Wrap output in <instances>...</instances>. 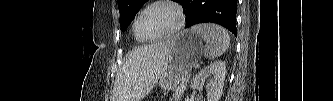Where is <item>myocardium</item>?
<instances>
[{"mask_svg":"<svg viewBox=\"0 0 333 101\" xmlns=\"http://www.w3.org/2000/svg\"><path fill=\"white\" fill-rule=\"evenodd\" d=\"M158 5H164V6H168V7H171L172 9H174V11L176 12L177 17H178L177 24L171 31H169L165 34H162L157 37H147L140 30V18L148 9H150L154 6H158ZM184 23H185V13H184L183 8L178 3L174 2V1H170V0H160V1H154L150 4H148L137 14L136 19L134 21V30H135L137 36L141 40L157 41V40L165 39L167 37H170V36L176 34L183 27Z\"/></svg>","mask_w":333,"mask_h":101,"instance_id":"myocardium-1","label":"myocardium"}]
</instances>
